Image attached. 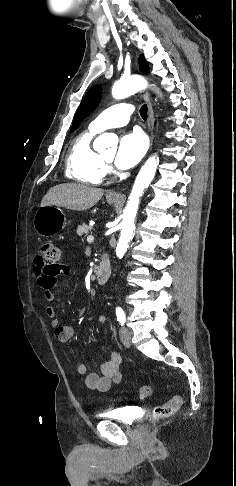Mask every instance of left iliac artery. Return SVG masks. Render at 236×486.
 Here are the masks:
<instances>
[{
    "label": "left iliac artery",
    "instance_id": "1",
    "mask_svg": "<svg viewBox=\"0 0 236 486\" xmlns=\"http://www.w3.org/2000/svg\"><path fill=\"white\" fill-rule=\"evenodd\" d=\"M116 316H117V321L121 324L124 325L125 323V313L122 310V308L117 307L116 308Z\"/></svg>",
    "mask_w": 236,
    "mask_h": 486
}]
</instances>
